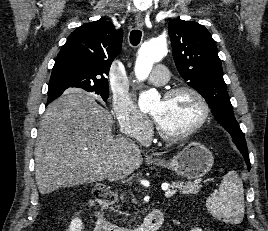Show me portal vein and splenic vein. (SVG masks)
Segmentation results:
<instances>
[{"instance_id":"18ae733b","label":"portal vein and splenic vein","mask_w":268,"mask_h":231,"mask_svg":"<svg viewBox=\"0 0 268 231\" xmlns=\"http://www.w3.org/2000/svg\"><path fill=\"white\" fill-rule=\"evenodd\" d=\"M175 193H176L175 189H166L165 197L169 198V197L173 196Z\"/></svg>"}]
</instances>
